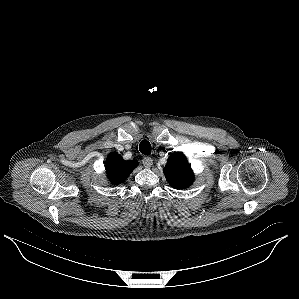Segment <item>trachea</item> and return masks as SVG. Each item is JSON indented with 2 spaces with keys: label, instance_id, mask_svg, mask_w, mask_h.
Returning <instances> with one entry per match:
<instances>
[{
  "label": "trachea",
  "instance_id": "trachea-1",
  "mask_svg": "<svg viewBox=\"0 0 299 299\" xmlns=\"http://www.w3.org/2000/svg\"><path fill=\"white\" fill-rule=\"evenodd\" d=\"M139 150L144 155H150L151 154V144L147 140H143L140 142Z\"/></svg>",
  "mask_w": 299,
  "mask_h": 299
}]
</instances>
